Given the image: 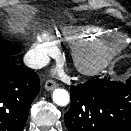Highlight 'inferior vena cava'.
I'll use <instances>...</instances> for the list:
<instances>
[{
  "label": "inferior vena cava",
  "mask_w": 131,
  "mask_h": 131,
  "mask_svg": "<svg viewBox=\"0 0 131 131\" xmlns=\"http://www.w3.org/2000/svg\"><path fill=\"white\" fill-rule=\"evenodd\" d=\"M49 62V57L43 54L26 53L24 63L32 69H40L46 66Z\"/></svg>",
  "instance_id": "inferior-vena-cava-1"
}]
</instances>
